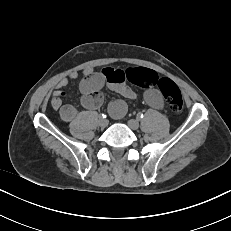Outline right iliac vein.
Wrapping results in <instances>:
<instances>
[{
  "label": "right iliac vein",
  "instance_id": "right-iliac-vein-1",
  "mask_svg": "<svg viewBox=\"0 0 231 231\" xmlns=\"http://www.w3.org/2000/svg\"><path fill=\"white\" fill-rule=\"evenodd\" d=\"M98 124L101 128H105L108 125V121L106 119L100 118Z\"/></svg>",
  "mask_w": 231,
  "mask_h": 231
}]
</instances>
